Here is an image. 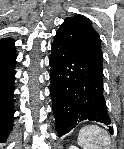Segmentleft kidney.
Masks as SVG:
<instances>
[{
    "label": "left kidney",
    "mask_w": 124,
    "mask_h": 149,
    "mask_svg": "<svg viewBox=\"0 0 124 149\" xmlns=\"http://www.w3.org/2000/svg\"><path fill=\"white\" fill-rule=\"evenodd\" d=\"M69 149H78V148L72 145V146H70Z\"/></svg>",
    "instance_id": "5707ae66"
}]
</instances>
